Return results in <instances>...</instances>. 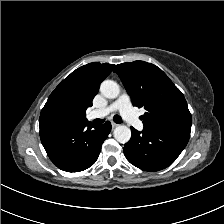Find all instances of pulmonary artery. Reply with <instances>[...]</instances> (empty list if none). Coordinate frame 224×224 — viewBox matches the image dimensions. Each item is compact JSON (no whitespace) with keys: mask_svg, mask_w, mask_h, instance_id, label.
<instances>
[{"mask_svg":"<svg viewBox=\"0 0 224 224\" xmlns=\"http://www.w3.org/2000/svg\"><path fill=\"white\" fill-rule=\"evenodd\" d=\"M115 111H119L122 117L136 129L140 131L144 129L143 123L138 119L134 110L132 109L129 96L125 93L121 94L109 106L97 110L94 113V117L106 116L109 113H112Z\"/></svg>","mask_w":224,"mask_h":224,"instance_id":"e3ab8cb5","label":"pulmonary artery"}]
</instances>
